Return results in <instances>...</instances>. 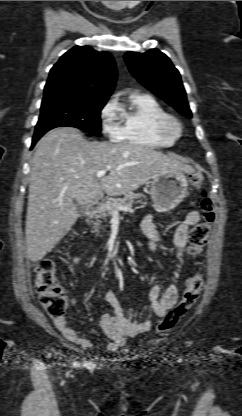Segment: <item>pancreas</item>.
<instances>
[{"label":"pancreas","instance_id":"pancreas-1","mask_svg":"<svg viewBox=\"0 0 242 416\" xmlns=\"http://www.w3.org/2000/svg\"><path fill=\"white\" fill-rule=\"evenodd\" d=\"M143 194L141 193H127L122 198H110L104 204L100 205L96 213V222L95 226L99 227V218L106 219L107 217H111L114 212L116 211V206L124 205L131 208L134 204L142 203L143 207L147 205L146 202H142L141 198Z\"/></svg>","mask_w":242,"mask_h":416}]
</instances>
